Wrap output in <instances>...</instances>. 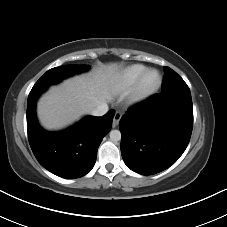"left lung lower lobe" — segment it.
Returning a JSON list of instances; mask_svg holds the SVG:
<instances>
[{
	"label": "left lung lower lobe",
	"instance_id": "0a47b994",
	"mask_svg": "<svg viewBox=\"0 0 227 227\" xmlns=\"http://www.w3.org/2000/svg\"><path fill=\"white\" fill-rule=\"evenodd\" d=\"M125 164L141 175L161 172L185 151L193 128L191 93H159L120 120Z\"/></svg>",
	"mask_w": 227,
	"mask_h": 227
}]
</instances>
